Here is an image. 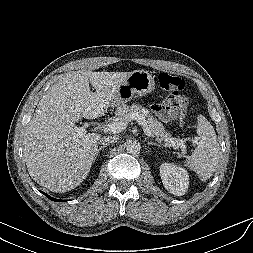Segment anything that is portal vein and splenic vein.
<instances>
[{"label": "portal vein and splenic vein", "instance_id": "1", "mask_svg": "<svg viewBox=\"0 0 253 253\" xmlns=\"http://www.w3.org/2000/svg\"><path fill=\"white\" fill-rule=\"evenodd\" d=\"M131 120H136L138 122L139 125L142 126L144 133L148 136V137H153L150 129L148 128L147 124L145 123L144 119L142 116L138 115V114H133L131 116ZM128 122L127 121H118V122H112L109 123L107 125L98 127L99 129L105 131V132H112V133H119L123 130L126 129ZM76 131L79 135H83L86 130L84 127H77ZM166 142L171 143L173 146H179L181 148V150L183 151V153L186 150V146H185V139H177V138H169L166 139Z\"/></svg>", "mask_w": 253, "mask_h": 253}]
</instances>
